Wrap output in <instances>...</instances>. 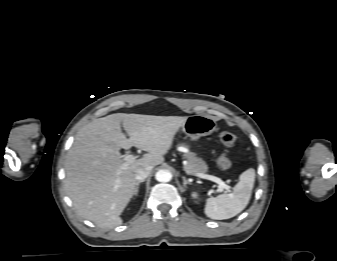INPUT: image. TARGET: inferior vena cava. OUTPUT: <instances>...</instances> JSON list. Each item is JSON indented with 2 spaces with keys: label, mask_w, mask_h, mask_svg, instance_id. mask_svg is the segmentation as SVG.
Returning <instances> with one entry per match:
<instances>
[{
  "label": "inferior vena cava",
  "mask_w": 337,
  "mask_h": 261,
  "mask_svg": "<svg viewBox=\"0 0 337 261\" xmlns=\"http://www.w3.org/2000/svg\"><path fill=\"white\" fill-rule=\"evenodd\" d=\"M152 168H153L152 166L138 168L135 172L136 180L138 181L145 180L149 176Z\"/></svg>",
  "instance_id": "inferior-vena-cava-1"
}]
</instances>
